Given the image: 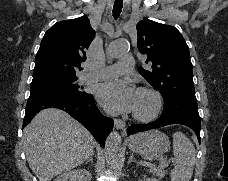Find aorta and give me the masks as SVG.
I'll use <instances>...</instances> for the list:
<instances>
[{
    "instance_id": "1",
    "label": "aorta",
    "mask_w": 228,
    "mask_h": 181,
    "mask_svg": "<svg viewBox=\"0 0 228 181\" xmlns=\"http://www.w3.org/2000/svg\"><path fill=\"white\" fill-rule=\"evenodd\" d=\"M128 42L123 39L113 41L108 48L111 57H121L128 51ZM121 137L118 132H111L105 143L106 162L113 167L117 164L120 156Z\"/></svg>"
}]
</instances>
